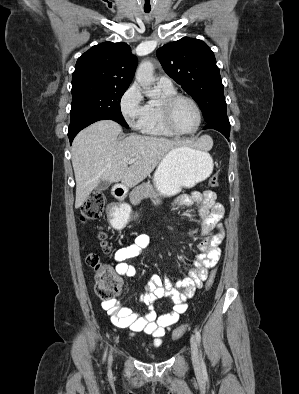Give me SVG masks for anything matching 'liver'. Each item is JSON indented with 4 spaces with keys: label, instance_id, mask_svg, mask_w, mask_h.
<instances>
[{
    "label": "liver",
    "instance_id": "1",
    "mask_svg": "<svg viewBox=\"0 0 299 394\" xmlns=\"http://www.w3.org/2000/svg\"><path fill=\"white\" fill-rule=\"evenodd\" d=\"M121 126L101 120L82 130L74 139L71 154L76 181L75 208H79L101 180L121 182L132 188L149 176L172 149L188 141L132 134L119 141ZM205 141L204 138L200 141ZM135 163L128 167V161Z\"/></svg>",
    "mask_w": 299,
    "mask_h": 394
}]
</instances>
